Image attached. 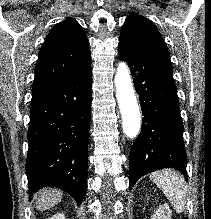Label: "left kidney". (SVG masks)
Here are the masks:
<instances>
[{
    "label": "left kidney",
    "mask_w": 211,
    "mask_h": 219,
    "mask_svg": "<svg viewBox=\"0 0 211 219\" xmlns=\"http://www.w3.org/2000/svg\"><path fill=\"white\" fill-rule=\"evenodd\" d=\"M151 219H171V210L168 204L160 205Z\"/></svg>",
    "instance_id": "obj_1"
}]
</instances>
